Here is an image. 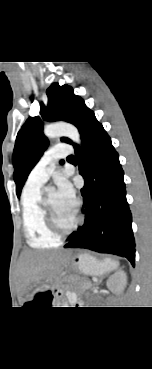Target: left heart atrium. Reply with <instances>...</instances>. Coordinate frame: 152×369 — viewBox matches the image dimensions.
I'll return each mask as SVG.
<instances>
[{
    "label": "left heart atrium",
    "mask_w": 152,
    "mask_h": 369,
    "mask_svg": "<svg viewBox=\"0 0 152 369\" xmlns=\"http://www.w3.org/2000/svg\"><path fill=\"white\" fill-rule=\"evenodd\" d=\"M57 196L61 205L72 212H76L78 207V200L75 195V191L71 184L63 178L57 181Z\"/></svg>",
    "instance_id": "left-heart-atrium-1"
}]
</instances>
